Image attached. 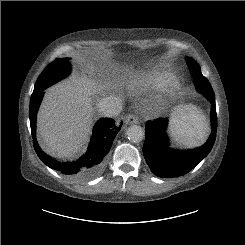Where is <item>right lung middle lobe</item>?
<instances>
[{"label": "right lung middle lobe", "instance_id": "obj_1", "mask_svg": "<svg viewBox=\"0 0 245 245\" xmlns=\"http://www.w3.org/2000/svg\"><path fill=\"white\" fill-rule=\"evenodd\" d=\"M69 58H58L51 63L36 81L33 94L67 77L71 72Z\"/></svg>", "mask_w": 245, "mask_h": 245}]
</instances>
